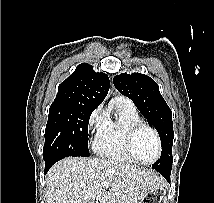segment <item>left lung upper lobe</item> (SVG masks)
<instances>
[{"mask_svg": "<svg viewBox=\"0 0 214 203\" xmlns=\"http://www.w3.org/2000/svg\"><path fill=\"white\" fill-rule=\"evenodd\" d=\"M116 89L129 97L149 125L157 130L162 152L160 159L152 165L158 172L170 171L172 168V144L174 138L172 112L160 94L157 83L147 75L141 73H122L113 79Z\"/></svg>", "mask_w": 214, "mask_h": 203, "instance_id": "left-lung-upper-lobe-1", "label": "left lung upper lobe"}]
</instances>
